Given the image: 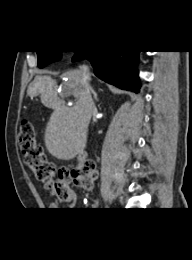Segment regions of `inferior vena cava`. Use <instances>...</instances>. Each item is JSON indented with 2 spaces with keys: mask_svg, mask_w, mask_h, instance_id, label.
Masks as SVG:
<instances>
[{
  "mask_svg": "<svg viewBox=\"0 0 192 260\" xmlns=\"http://www.w3.org/2000/svg\"><path fill=\"white\" fill-rule=\"evenodd\" d=\"M80 71L82 72V79H83V84L87 93V96L89 98L90 104L92 106V110H94V104L91 99L90 95V86H89V80H90V72H89V67L87 65H82L80 67Z\"/></svg>",
  "mask_w": 192,
  "mask_h": 260,
  "instance_id": "602c4592",
  "label": "inferior vena cava"
}]
</instances>
